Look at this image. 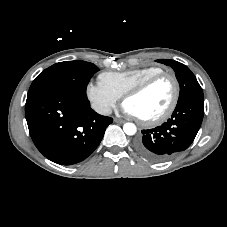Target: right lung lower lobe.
<instances>
[{"mask_svg": "<svg viewBox=\"0 0 227 227\" xmlns=\"http://www.w3.org/2000/svg\"><path fill=\"white\" fill-rule=\"evenodd\" d=\"M25 114L35 146L46 158L61 165L86 159L113 122L91 109L84 96L60 90L27 96Z\"/></svg>", "mask_w": 227, "mask_h": 227, "instance_id": "obj_1", "label": "right lung lower lobe"}]
</instances>
